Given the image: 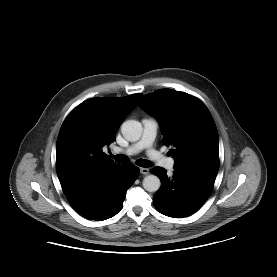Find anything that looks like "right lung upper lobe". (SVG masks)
<instances>
[{
	"label": "right lung upper lobe",
	"instance_id": "cb5924a9",
	"mask_svg": "<svg viewBox=\"0 0 277 277\" xmlns=\"http://www.w3.org/2000/svg\"><path fill=\"white\" fill-rule=\"evenodd\" d=\"M141 96L96 97L72 110L56 145V170L63 189L116 164L102 152V147L115 140L120 124Z\"/></svg>",
	"mask_w": 277,
	"mask_h": 277
}]
</instances>
